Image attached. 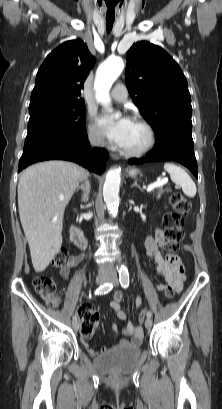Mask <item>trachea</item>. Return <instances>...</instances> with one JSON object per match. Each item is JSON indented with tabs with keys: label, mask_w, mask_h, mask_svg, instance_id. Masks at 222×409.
I'll list each match as a JSON object with an SVG mask.
<instances>
[{
	"label": "trachea",
	"mask_w": 222,
	"mask_h": 409,
	"mask_svg": "<svg viewBox=\"0 0 222 409\" xmlns=\"http://www.w3.org/2000/svg\"><path fill=\"white\" fill-rule=\"evenodd\" d=\"M113 22H114V19H107V20H106V27H107V32H108V33H109V32L111 31V29H112Z\"/></svg>",
	"instance_id": "3493384b"
}]
</instances>
